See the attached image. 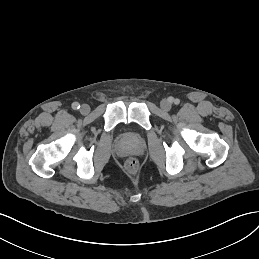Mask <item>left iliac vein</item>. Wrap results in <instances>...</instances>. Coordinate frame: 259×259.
I'll use <instances>...</instances> for the list:
<instances>
[{"instance_id":"obj_1","label":"left iliac vein","mask_w":259,"mask_h":259,"mask_svg":"<svg viewBox=\"0 0 259 259\" xmlns=\"http://www.w3.org/2000/svg\"><path fill=\"white\" fill-rule=\"evenodd\" d=\"M171 102L167 99L161 101L160 106L164 111H169L171 109Z\"/></svg>"}]
</instances>
